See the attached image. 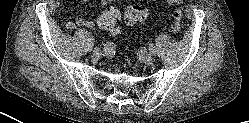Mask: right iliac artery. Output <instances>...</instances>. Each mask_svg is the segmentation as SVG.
<instances>
[{
  "mask_svg": "<svg viewBox=\"0 0 249 123\" xmlns=\"http://www.w3.org/2000/svg\"><path fill=\"white\" fill-rule=\"evenodd\" d=\"M112 48L111 43L107 42L106 44H104V51H109Z\"/></svg>",
  "mask_w": 249,
  "mask_h": 123,
  "instance_id": "obj_1",
  "label": "right iliac artery"
}]
</instances>
